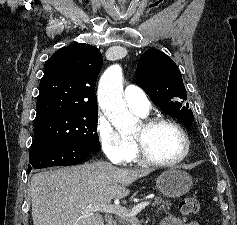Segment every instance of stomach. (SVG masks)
Here are the masks:
<instances>
[{
    "instance_id": "0dacf381",
    "label": "stomach",
    "mask_w": 237,
    "mask_h": 225,
    "mask_svg": "<svg viewBox=\"0 0 237 225\" xmlns=\"http://www.w3.org/2000/svg\"><path fill=\"white\" fill-rule=\"evenodd\" d=\"M193 185L192 177L178 168H170L156 179L158 190L169 198H178L189 192Z\"/></svg>"
}]
</instances>
